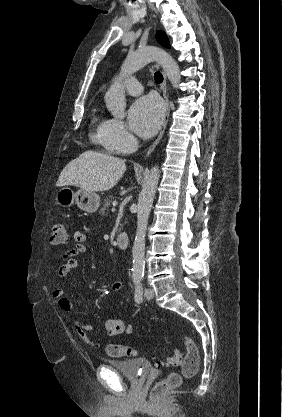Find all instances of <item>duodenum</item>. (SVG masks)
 Wrapping results in <instances>:
<instances>
[{"instance_id":"1","label":"duodenum","mask_w":282,"mask_h":417,"mask_svg":"<svg viewBox=\"0 0 282 417\" xmlns=\"http://www.w3.org/2000/svg\"><path fill=\"white\" fill-rule=\"evenodd\" d=\"M129 236L126 233H119L115 237V244L120 249H126L128 247Z\"/></svg>"}]
</instances>
